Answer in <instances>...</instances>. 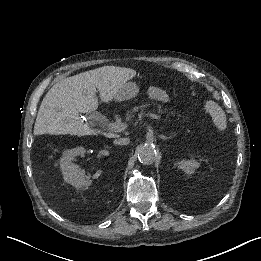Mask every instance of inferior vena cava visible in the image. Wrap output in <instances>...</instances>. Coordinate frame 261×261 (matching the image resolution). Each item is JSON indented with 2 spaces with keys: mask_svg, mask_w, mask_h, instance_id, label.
Wrapping results in <instances>:
<instances>
[{
  "mask_svg": "<svg viewBox=\"0 0 261 261\" xmlns=\"http://www.w3.org/2000/svg\"><path fill=\"white\" fill-rule=\"evenodd\" d=\"M116 141L118 142V144H128L130 142L129 138H122V137H117Z\"/></svg>",
  "mask_w": 261,
  "mask_h": 261,
  "instance_id": "obj_1",
  "label": "inferior vena cava"
}]
</instances>
